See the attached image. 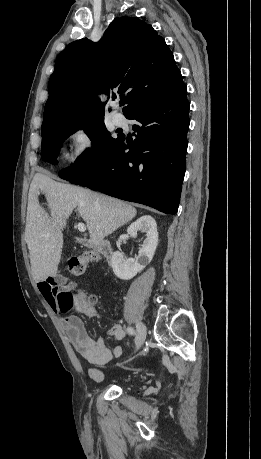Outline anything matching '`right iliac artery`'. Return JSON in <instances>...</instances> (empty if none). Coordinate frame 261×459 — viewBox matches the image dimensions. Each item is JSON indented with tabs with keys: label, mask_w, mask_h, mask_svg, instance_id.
Segmentation results:
<instances>
[{
	"label": "right iliac artery",
	"mask_w": 261,
	"mask_h": 459,
	"mask_svg": "<svg viewBox=\"0 0 261 459\" xmlns=\"http://www.w3.org/2000/svg\"><path fill=\"white\" fill-rule=\"evenodd\" d=\"M126 330L130 335H135V330L132 327H127Z\"/></svg>",
	"instance_id": "right-iliac-artery-1"
}]
</instances>
